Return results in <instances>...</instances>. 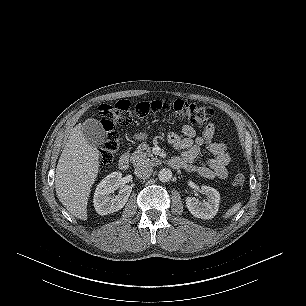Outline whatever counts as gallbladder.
Here are the masks:
<instances>
[{"label": "gallbladder", "mask_w": 306, "mask_h": 306, "mask_svg": "<svg viewBox=\"0 0 306 306\" xmlns=\"http://www.w3.org/2000/svg\"><path fill=\"white\" fill-rule=\"evenodd\" d=\"M82 132L90 145L100 146L106 140V132L96 119H87L82 125Z\"/></svg>", "instance_id": "obj_1"}]
</instances>
